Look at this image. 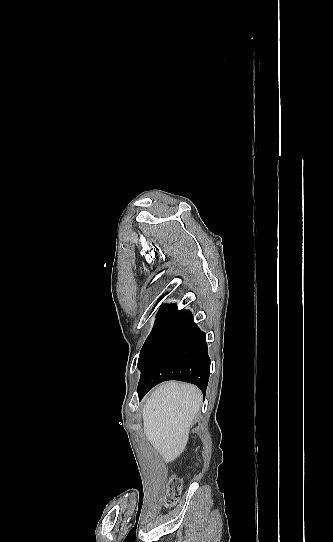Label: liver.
<instances>
[{
    "instance_id": "liver-1",
    "label": "liver",
    "mask_w": 333,
    "mask_h": 542,
    "mask_svg": "<svg viewBox=\"0 0 333 542\" xmlns=\"http://www.w3.org/2000/svg\"><path fill=\"white\" fill-rule=\"evenodd\" d=\"M201 402L196 386L179 382L162 384L148 398L142 414L144 434L167 464L185 450Z\"/></svg>"
}]
</instances>
